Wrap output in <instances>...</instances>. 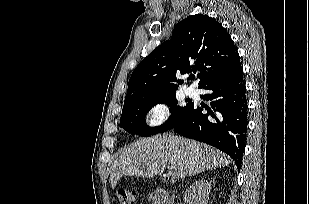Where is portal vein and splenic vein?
Here are the masks:
<instances>
[{"label":"portal vein and splenic vein","mask_w":309,"mask_h":204,"mask_svg":"<svg viewBox=\"0 0 309 204\" xmlns=\"http://www.w3.org/2000/svg\"><path fill=\"white\" fill-rule=\"evenodd\" d=\"M161 167H162V168H164V167H165V165H161ZM167 177H169V178H173V177H175V173H174V172H172V171H169V172L167 173Z\"/></svg>","instance_id":"obj_1"}]
</instances>
